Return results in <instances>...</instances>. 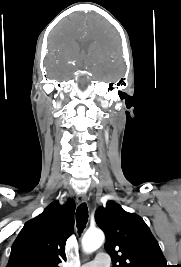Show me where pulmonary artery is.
<instances>
[{
	"mask_svg": "<svg viewBox=\"0 0 181 267\" xmlns=\"http://www.w3.org/2000/svg\"><path fill=\"white\" fill-rule=\"evenodd\" d=\"M81 267H109V259L100 254L95 260L83 264Z\"/></svg>",
	"mask_w": 181,
	"mask_h": 267,
	"instance_id": "1",
	"label": "pulmonary artery"
}]
</instances>
